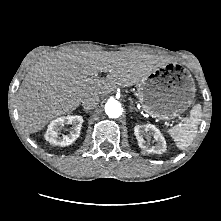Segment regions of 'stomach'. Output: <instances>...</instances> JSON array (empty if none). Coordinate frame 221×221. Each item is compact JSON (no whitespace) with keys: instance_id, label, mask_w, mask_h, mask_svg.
<instances>
[{"instance_id":"obj_1","label":"stomach","mask_w":221,"mask_h":221,"mask_svg":"<svg viewBox=\"0 0 221 221\" xmlns=\"http://www.w3.org/2000/svg\"><path fill=\"white\" fill-rule=\"evenodd\" d=\"M192 76L181 70L157 68L137 83V97L153 118L173 119L192 104L195 97Z\"/></svg>"}]
</instances>
